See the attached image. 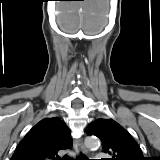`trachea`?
<instances>
[{"mask_svg":"<svg viewBox=\"0 0 160 160\" xmlns=\"http://www.w3.org/2000/svg\"><path fill=\"white\" fill-rule=\"evenodd\" d=\"M64 160H72V159H69L68 157L64 158ZM76 160H88V158L84 155H82L81 157L77 158Z\"/></svg>","mask_w":160,"mask_h":160,"instance_id":"trachea-1","label":"trachea"}]
</instances>
